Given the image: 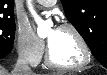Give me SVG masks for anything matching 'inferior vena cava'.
I'll return each mask as SVG.
<instances>
[{"label": "inferior vena cava", "mask_w": 107, "mask_h": 75, "mask_svg": "<svg viewBox=\"0 0 107 75\" xmlns=\"http://www.w3.org/2000/svg\"><path fill=\"white\" fill-rule=\"evenodd\" d=\"M12 74L13 75H33V72L28 64V61L22 53H20L18 56V59Z\"/></svg>", "instance_id": "obj_1"}]
</instances>
